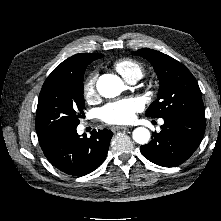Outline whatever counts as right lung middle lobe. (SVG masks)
Instances as JSON below:
<instances>
[{"label":"right lung middle lobe","mask_w":221,"mask_h":221,"mask_svg":"<svg viewBox=\"0 0 221 221\" xmlns=\"http://www.w3.org/2000/svg\"><path fill=\"white\" fill-rule=\"evenodd\" d=\"M84 71L77 74H50L41 89L35 127L38 137L75 128L84 114Z\"/></svg>","instance_id":"dd1d6c3e"}]
</instances>
